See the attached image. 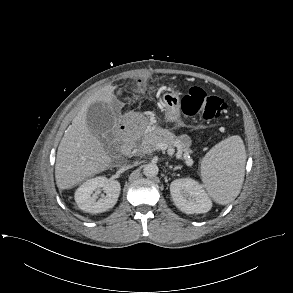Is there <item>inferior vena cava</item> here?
I'll return each instance as SVG.
<instances>
[{"label":"inferior vena cava","instance_id":"1","mask_svg":"<svg viewBox=\"0 0 293 293\" xmlns=\"http://www.w3.org/2000/svg\"><path fill=\"white\" fill-rule=\"evenodd\" d=\"M131 167H132L131 165H123V166H121L120 171H126V170L130 169Z\"/></svg>","mask_w":293,"mask_h":293}]
</instances>
